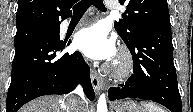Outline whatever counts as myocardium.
<instances>
[{"instance_id": "f54148a6", "label": "myocardium", "mask_w": 193, "mask_h": 112, "mask_svg": "<svg viewBox=\"0 0 193 112\" xmlns=\"http://www.w3.org/2000/svg\"><path fill=\"white\" fill-rule=\"evenodd\" d=\"M133 71V59L126 47H121L107 68L108 75L117 81L127 79Z\"/></svg>"}]
</instances>
